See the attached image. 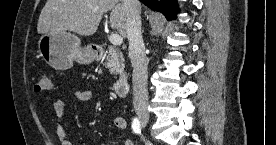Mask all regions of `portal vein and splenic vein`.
<instances>
[{"mask_svg": "<svg viewBox=\"0 0 276 145\" xmlns=\"http://www.w3.org/2000/svg\"><path fill=\"white\" fill-rule=\"evenodd\" d=\"M109 41L113 44V45H121L123 42V38L118 35V34H111L109 36Z\"/></svg>", "mask_w": 276, "mask_h": 145, "instance_id": "obj_1", "label": "portal vein and splenic vein"}]
</instances>
